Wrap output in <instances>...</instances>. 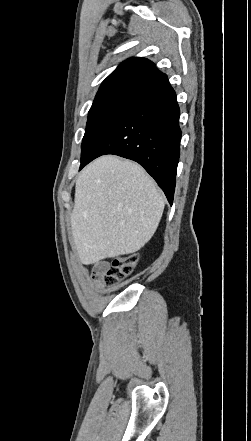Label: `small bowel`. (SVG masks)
I'll list each match as a JSON object with an SVG mask.
<instances>
[{"label": "small bowel", "mask_w": 251, "mask_h": 441, "mask_svg": "<svg viewBox=\"0 0 251 441\" xmlns=\"http://www.w3.org/2000/svg\"><path fill=\"white\" fill-rule=\"evenodd\" d=\"M109 263L105 260H100L92 265V272L90 273L87 266L83 265L80 267V274L83 278L88 279L91 278L95 287L97 289H103L104 283H103V274L105 270L108 268Z\"/></svg>", "instance_id": "1"}]
</instances>
